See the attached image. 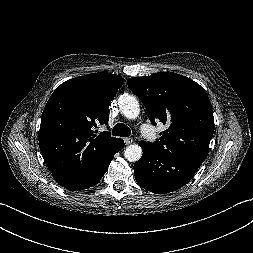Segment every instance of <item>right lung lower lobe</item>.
I'll return each mask as SVG.
<instances>
[{
    "label": "right lung lower lobe",
    "instance_id": "obj_1",
    "mask_svg": "<svg viewBox=\"0 0 253 253\" xmlns=\"http://www.w3.org/2000/svg\"><path fill=\"white\" fill-rule=\"evenodd\" d=\"M123 147L124 142L119 139L103 156L70 170L52 171V176L62 187L70 190L90 188L99 183L114 155Z\"/></svg>",
    "mask_w": 253,
    "mask_h": 253
}]
</instances>
